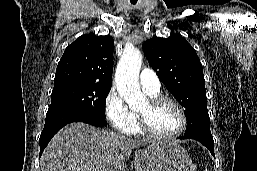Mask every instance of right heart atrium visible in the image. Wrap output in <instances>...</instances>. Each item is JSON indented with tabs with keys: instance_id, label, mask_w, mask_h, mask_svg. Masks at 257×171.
<instances>
[{
	"instance_id": "1",
	"label": "right heart atrium",
	"mask_w": 257,
	"mask_h": 171,
	"mask_svg": "<svg viewBox=\"0 0 257 171\" xmlns=\"http://www.w3.org/2000/svg\"><path fill=\"white\" fill-rule=\"evenodd\" d=\"M104 109L106 117L114 129L124 133L129 129L134 113L114 88L108 92L105 98Z\"/></svg>"
}]
</instances>
